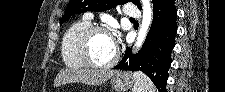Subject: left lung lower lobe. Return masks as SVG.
<instances>
[{
	"mask_svg": "<svg viewBox=\"0 0 225 92\" xmlns=\"http://www.w3.org/2000/svg\"><path fill=\"white\" fill-rule=\"evenodd\" d=\"M152 26L138 54L133 55L129 47L114 69L144 72L161 92H166L171 52L175 46L177 10L174 0H158L153 5Z\"/></svg>",
	"mask_w": 225,
	"mask_h": 92,
	"instance_id": "1",
	"label": "left lung lower lobe"
}]
</instances>
